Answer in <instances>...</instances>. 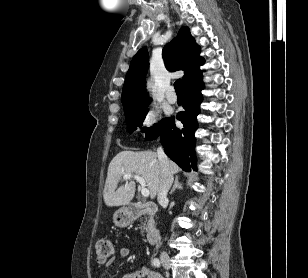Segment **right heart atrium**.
<instances>
[{"instance_id": "obj_1", "label": "right heart atrium", "mask_w": 308, "mask_h": 278, "mask_svg": "<svg viewBox=\"0 0 308 278\" xmlns=\"http://www.w3.org/2000/svg\"><path fill=\"white\" fill-rule=\"evenodd\" d=\"M158 119V110L152 105L145 106L139 119L140 130L144 133L151 132L156 128Z\"/></svg>"}]
</instances>
